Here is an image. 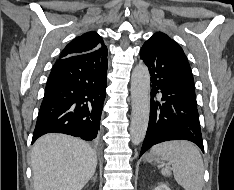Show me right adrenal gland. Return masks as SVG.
I'll use <instances>...</instances> for the list:
<instances>
[{
    "label": "right adrenal gland",
    "instance_id": "2a0ac1e0",
    "mask_svg": "<svg viewBox=\"0 0 234 190\" xmlns=\"http://www.w3.org/2000/svg\"><path fill=\"white\" fill-rule=\"evenodd\" d=\"M96 178H97V175H95V176L92 178L94 182L96 181Z\"/></svg>",
    "mask_w": 234,
    "mask_h": 190
}]
</instances>
